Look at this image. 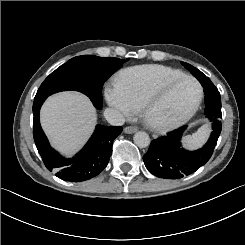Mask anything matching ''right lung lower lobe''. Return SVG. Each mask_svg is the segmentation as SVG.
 <instances>
[{
  "instance_id": "right-lung-lower-lobe-1",
  "label": "right lung lower lobe",
  "mask_w": 245,
  "mask_h": 245,
  "mask_svg": "<svg viewBox=\"0 0 245 245\" xmlns=\"http://www.w3.org/2000/svg\"><path fill=\"white\" fill-rule=\"evenodd\" d=\"M47 97L34 99L33 136L36 147L49 171L65 181L79 182L97 176L108 164L112 154L113 140L120 135L122 127L98 125L84 148L73 158L66 159L56 152L40 126L39 111Z\"/></svg>"
}]
</instances>
